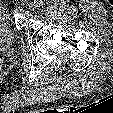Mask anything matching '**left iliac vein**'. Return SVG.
Masks as SVG:
<instances>
[{
    "label": "left iliac vein",
    "instance_id": "1",
    "mask_svg": "<svg viewBox=\"0 0 113 113\" xmlns=\"http://www.w3.org/2000/svg\"><path fill=\"white\" fill-rule=\"evenodd\" d=\"M28 7L30 11H34L36 9V4L34 2H30Z\"/></svg>",
    "mask_w": 113,
    "mask_h": 113
}]
</instances>
